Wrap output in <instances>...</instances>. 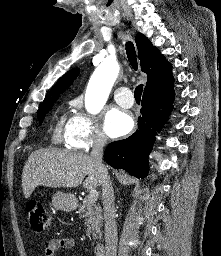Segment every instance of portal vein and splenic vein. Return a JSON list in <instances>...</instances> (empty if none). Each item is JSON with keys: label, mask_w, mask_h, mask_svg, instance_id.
Segmentation results:
<instances>
[{"label": "portal vein and splenic vein", "mask_w": 221, "mask_h": 256, "mask_svg": "<svg viewBox=\"0 0 221 256\" xmlns=\"http://www.w3.org/2000/svg\"><path fill=\"white\" fill-rule=\"evenodd\" d=\"M98 196H99V194H98L97 190L96 189H91L90 192H89L88 197L93 199L94 201H96Z\"/></svg>", "instance_id": "obj_1"}]
</instances>
